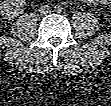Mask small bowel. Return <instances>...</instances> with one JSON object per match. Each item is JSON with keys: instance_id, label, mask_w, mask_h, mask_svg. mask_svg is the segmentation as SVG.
Returning <instances> with one entry per match:
<instances>
[{"instance_id": "small-bowel-1", "label": "small bowel", "mask_w": 111, "mask_h": 106, "mask_svg": "<svg viewBox=\"0 0 111 106\" xmlns=\"http://www.w3.org/2000/svg\"><path fill=\"white\" fill-rule=\"evenodd\" d=\"M84 2H87V3H96V2H99V1L87 0V1H84Z\"/></svg>"}]
</instances>
